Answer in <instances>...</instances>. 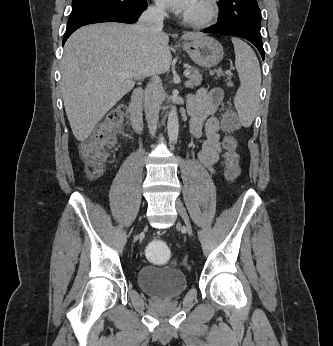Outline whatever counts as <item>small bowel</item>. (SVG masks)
<instances>
[{
  "mask_svg": "<svg viewBox=\"0 0 333 346\" xmlns=\"http://www.w3.org/2000/svg\"><path fill=\"white\" fill-rule=\"evenodd\" d=\"M223 99V91L216 87L212 89L201 88L188 99V111L191 115L190 130L194 137H199L204 132L205 140L199 152L200 162L213 171L222 152L221 136L222 127L216 111Z\"/></svg>",
  "mask_w": 333,
  "mask_h": 346,
  "instance_id": "1",
  "label": "small bowel"
}]
</instances>
